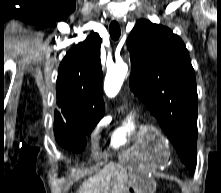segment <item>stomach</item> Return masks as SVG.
Listing matches in <instances>:
<instances>
[{
	"label": "stomach",
	"mask_w": 221,
	"mask_h": 193,
	"mask_svg": "<svg viewBox=\"0 0 221 193\" xmlns=\"http://www.w3.org/2000/svg\"><path fill=\"white\" fill-rule=\"evenodd\" d=\"M132 137L136 142H130L127 154L120 159L123 167H130L131 177L123 193H152L154 186L148 183L153 182L154 167H167V142H162L152 125H142Z\"/></svg>",
	"instance_id": "stomach-1"
}]
</instances>
